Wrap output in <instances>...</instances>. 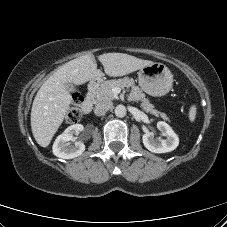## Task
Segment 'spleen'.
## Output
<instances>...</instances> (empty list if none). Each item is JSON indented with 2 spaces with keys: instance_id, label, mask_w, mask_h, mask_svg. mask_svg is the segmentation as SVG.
Returning a JSON list of instances; mask_svg holds the SVG:
<instances>
[{
  "instance_id": "1",
  "label": "spleen",
  "mask_w": 227,
  "mask_h": 227,
  "mask_svg": "<svg viewBox=\"0 0 227 227\" xmlns=\"http://www.w3.org/2000/svg\"><path fill=\"white\" fill-rule=\"evenodd\" d=\"M195 117H196V106L192 105L191 108H190V111H189V119H190V121L193 122L195 120Z\"/></svg>"
}]
</instances>
